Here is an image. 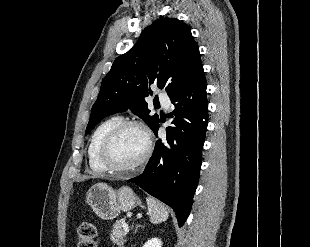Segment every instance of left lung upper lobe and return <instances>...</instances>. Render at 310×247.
Wrapping results in <instances>:
<instances>
[{"mask_svg":"<svg viewBox=\"0 0 310 247\" xmlns=\"http://www.w3.org/2000/svg\"><path fill=\"white\" fill-rule=\"evenodd\" d=\"M202 67L190 27L176 18L156 20L127 53L114 61L103 79L86 128L89 133L104 117L130 108L153 129L158 115H149L145 97L150 85L173 94Z\"/></svg>","mask_w":310,"mask_h":247,"instance_id":"obj_1","label":"left lung upper lobe"}]
</instances>
